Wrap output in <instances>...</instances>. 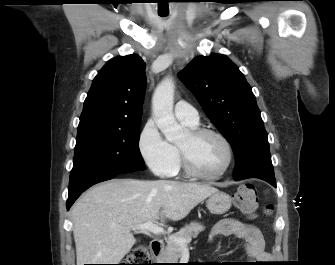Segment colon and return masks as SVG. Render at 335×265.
Instances as JSON below:
<instances>
[{
  "label": "colon",
  "mask_w": 335,
  "mask_h": 265,
  "mask_svg": "<svg viewBox=\"0 0 335 265\" xmlns=\"http://www.w3.org/2000/svg\"><path fill=\"white\" fill-rule=\"evenodd\" d=\"M235 206L244 214L248 216L254 215L257 206V192L255 186L251 183L241 185L234 195ZM266 208V212H269ZM151 251L145 245H139L132 249L128 254L125 263L122 265H150Z\"/></svg>",
  "instance_id": "1"
}]
</instances>
